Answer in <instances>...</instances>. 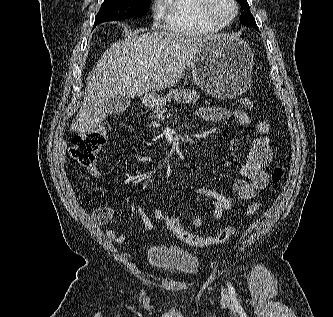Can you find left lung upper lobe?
I'll list each match as a JSON object with an SVG mask.
<instances>
[{
	"label": "left lung upper lobe",
	"instance_id": "obj_1",
	"mask_svg": "<svg viewBox=\"0 0 333 317\" xmlns=\"http://www.w3.org/2000/svg\"><path fill=\"white\" fill-rule=\"evenodd\" d=\"M244 9L243 15L240 17V22L245 26H250L258 30L255 19L253 18L247 0H237Z\"/></svg>",
	"mask_w": 333,
	"mask_h": 317
}]
</instances>
